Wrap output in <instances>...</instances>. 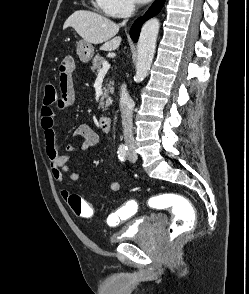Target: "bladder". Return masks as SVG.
Segmentation results:
<instances>
[{"label": "bladder", "instance_id": "31cf9c89", "mask_svg": "<svg viewBox=\"0 0 249 294\" xmlns=\"http://www.w3.org/2000/svg\"><path fill=\"white\" fill-rule=\"evenodd\" d=\"M158 217L143 215L133 220L126 228L111 237L114 243H121L129 239L144 238L150 234L155 223L161 221Z\"/></svg>", "mask_w": 249, "mask_h": 294}]
</instances>
